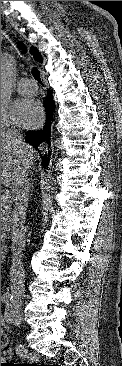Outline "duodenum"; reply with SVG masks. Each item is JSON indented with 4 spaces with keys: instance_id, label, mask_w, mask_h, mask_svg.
I'll use <instances>...</instances> for the list:
<instances>
[{
    "instance_id": "410a0bca",
    "label": "duodenum",
    "mask_w": 122,
    "mask_h": 366,
    "mask_svg": "<svg viewBox=\"0 0 122 366\" xmlns=\"http://www.w3.org/2000/svg\"><path fill=\"white\" fill-rule=\"evenodd\" d=\"M8 252V247L6 245H1V258H3Z\"/></svg>"
}]
</instances>
